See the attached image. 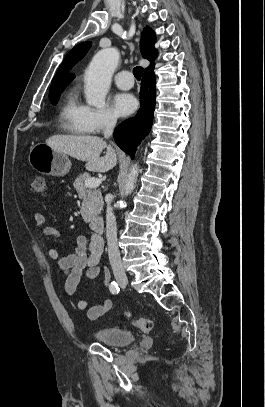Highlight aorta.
I'll list each match as a JSON object with an SVG mask.
<instances>
[{
  "label": "aorta",
  "instance_id": "1",
  "mask_svg": "<svg viewBox=\"0 0 265 407\" xmlns=\"http://www.w3.org/2000/svg\"><path fill=\"white\" fill-rule=\"evenodd\" d=\"M119 52L115 48L99 51L90 62L85 71V98L86 102L95 107H102L110 88L111 78L119 62ZM138 175L137 164L132 165L125 184L124 195L128 196L135 187ZM121 205H124L121 202Z\"/></svg>",
  "mask_w": 265,
  "mask_h": 407
}]
</instances>
